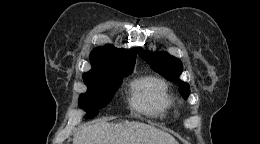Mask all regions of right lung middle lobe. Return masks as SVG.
Returning a JSON list of instances; mask_svg holds the SVG:
<instances>
[{
	"label": "right lung middle lobe",
	"mask_w": 260,
	"mask_h": 144,
	"mask_svg": "<svg viewBox=\"0 0 260 144\" xmlns=\"http://www.w3.org/2000/svg\"><path fill=\"white\" fill-rule=\"evenodd\" d=\"M131 73L132 71H127L99 76H83L88 90L80 95L78 103L80 108L87 112L85 118H94L99 113V109L106 106L113 98L122 79Z\"/></svg>",
	"instance_id": "1"
}]
</instances>
